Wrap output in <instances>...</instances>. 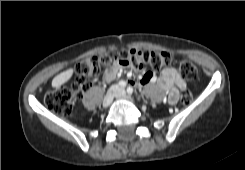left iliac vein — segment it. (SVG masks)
Masks as SVG:
<instances>
[{
  "mask_svg": "<svg viewBox=\"0 0 245 170\" xmlns=\"http://www.w3.org/2000/svg\"><path fill=\"white\" fill-rule=\"evenodd\" d=\"M116 98L125 99L134 102V99L131 96L126 95L124 88H118Z\"/></svg>",
  "mask_w": 245,
  "mask_h": 170,
  "instance_id": "4c4485c4",
  "label": "left iliac vein"
}]
</instances>
